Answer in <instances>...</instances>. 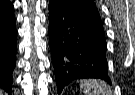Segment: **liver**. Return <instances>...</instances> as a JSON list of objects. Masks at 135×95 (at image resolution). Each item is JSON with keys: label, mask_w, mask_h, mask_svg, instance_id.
<instances>
[{"label": "liver", "mask_w": 135, "mask_h": 95, "mask_svg": "<svg viewBox=\"0 0 135 95\" xmlns=\"http://www.w3.org/2000/svg\"><path fill=\"white\" fill-rule=\"evenodd\" d=\"M0 95H5V94L3 93V91L0 90Z\"/></svg>", "instance_id": "1"}]
</instances>
